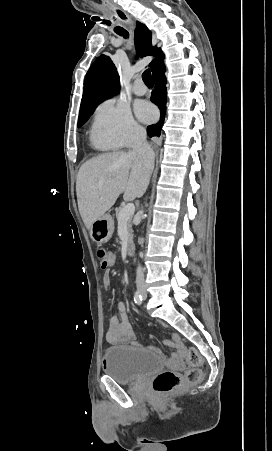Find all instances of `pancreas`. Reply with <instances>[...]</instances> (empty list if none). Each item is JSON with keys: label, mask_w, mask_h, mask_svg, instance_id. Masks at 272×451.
<instances>
[{"label": "pancreas", "mask_w": 272, "mask_h": 451, "mask_svg": "<svg viewBox=\"0 0 272 451\" xmlns=\"http://www.w3.org/2000/svg\"><path fill=\"white\" fill-rule=\"evenodd\" d=\"M121 210H123V208H116L117 220L119 218V212H121ZM125 224L127 226V231H128V241H129V243H132V241H133L132 220H127V222H125Z\"/></svg>", "instance_id": "cf45deb5"}]
</instances>
